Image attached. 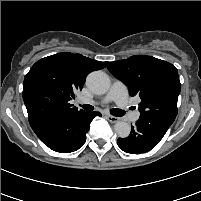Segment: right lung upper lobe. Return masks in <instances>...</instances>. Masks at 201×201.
Returning <instances> with one entry per match:
<instances>
[{
	"label": "right lung upper lobe",
	"mask_w": 201,
	"mask_h": 201,
	"mask_svg": "<svg viewBox=\"0 0 201 201\" xmlns=\"http://www.w3.org/2000/svg\"><path fill=\"white\" fill-rule=\"evenodd\" d=\"M105 67L81 54L58 53L37 61L24 78L23 99L29 119L39 115L72 116L83 110L70 104L86 76Z\"/></svg>",
	"instance_id": "right-lung-upper-lobe-1"
}]
</instances>
